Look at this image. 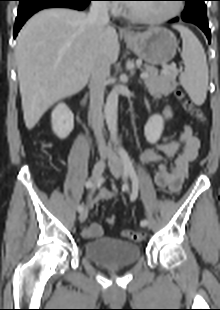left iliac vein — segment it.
<instances>
[{"mask_svg":"<svg viewBox=\"0 0 220 310\" xmlns=\"http://www.w3.org/2000/svg\"><path fill=\"white\" fill-rule=\"evenodd\" d=\"M110 171L115 178L124 177L123 164H122L120 158L116 155L112 156L110 159ZM145 226L148 229H152V223L149 219L146 220Z\"/></svg>","mask_w":220,"mask_h":310,"instance_id":"4c4485c4","label":"left iliac vein"}]
</instances>
